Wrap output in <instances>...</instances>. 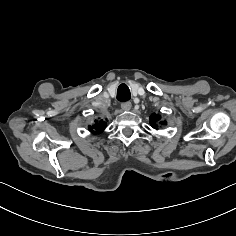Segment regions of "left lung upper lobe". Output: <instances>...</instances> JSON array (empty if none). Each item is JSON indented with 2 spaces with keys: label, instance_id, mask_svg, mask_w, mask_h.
I'll use <instances>...</instances> for the list:
<instances>
[{
  "label": "left lung upper lobe",
  "instance_id": "5c2ea615",
  "mask_svg": "<svg viewBox=\"0 0 236 236\" xmlns=\"http://www.w3.org/2000/svg\"><path fill=\"white\" fill-rule=\"evenodd\" d=\"M159 120V116L156 115V114H153L150 116V124L153 128H155L157 125H156V122Z\"/></svg>",
  "mask_w": 236,
  "mask_h": 236
}]
</instances>
